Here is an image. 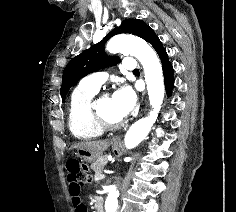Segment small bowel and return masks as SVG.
Masks as SVG:
<instances>
[{
    "label": "small bowel",
    "instance_id": "c3829d8e",
    "mask_svg": "<svg viewBox=\"0 0 236 212\" xmlns=\"http://www.w3.org/2000/svg\"><path fill=\"white\" fill-rule=\"evenodd\" d=\"M64 179L68 183L67 198H71V202L75 209L72 212H88L86 205H83L82 194L85 190V185H81L80 180L77 179L76 175H65Z\"/></svg>",
    "mask_w": 236,
    "mask_h": 212
}]
</instances>
